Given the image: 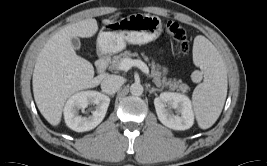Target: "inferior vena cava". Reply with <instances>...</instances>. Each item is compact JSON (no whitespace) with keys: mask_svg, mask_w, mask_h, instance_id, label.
<instances>
[{"mask_svg":"<svg viewBox=\"0 0 267 166\" xmlns=\"http://www.w3.org/2000/svg\"><path fill=\"white\" fill-rule=\"evenodd\" d=\"M124 79L118 75H107L101 82V89L104 93L112 95L123 85Z\"/></svg>","mask_w":267,"mask_h":166,"instance_id":"1","label":"inferior vena cava"}]
</instances>
